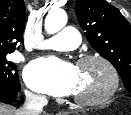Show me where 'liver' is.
Returning <instances> with one entry per match:
<instances>
[{
  "instance_id": "liver-1",
  "label": "liver",
  "mask_w": 131,
  "mask_h": 115,
  "mask_svg": "<svg viewBox=\"0 0 131 115\" xmlns=\"http://www.w3.org/2000/svg\"><path fill=\"white\" fill-rule=\"evenodd\" d=\"M15 108L0 104V115H18Z\"/></svg>"
}]
</instances>
